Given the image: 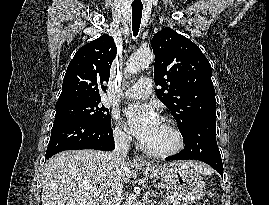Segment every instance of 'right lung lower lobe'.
Instances as JSON below:
<instances>
[{
    "mask_svg": "<svg viewBox=\"0 0 269 205\" xmlns=\"http://www.w3.org/2000/svg\"><path fill=\"white\" fill-rule=\"evenodd\" d=\"M113 131L110 125H101L83 120H63L54 122L46 159L64 150L114 149Z\"/></svg>",
    "mask_w": 269,
    "mask_h": 205,
    "instance_id": "98d812e1",
    "label": "right lung lower lobe"
}]
</instances>
